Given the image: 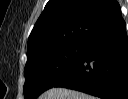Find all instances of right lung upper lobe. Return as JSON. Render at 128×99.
<instances>
[{
	"mask_svg": "<svg viewBox=\"0 0 128 99\" xmlns=\"http://www.w3.org/2000/svg\"><path fill=\"white\" fill-rule=\"evenodd\" d=\"M121 12L116 0H50L27 44V59L56 47L88 41Z\"/></svg>",
	"mask_w": 128,
	"mask_h": 99,
	"instance_id": "obj_1",
	"label": "right lung upper lobe"
}]
</instances>
